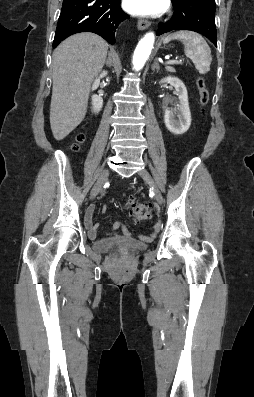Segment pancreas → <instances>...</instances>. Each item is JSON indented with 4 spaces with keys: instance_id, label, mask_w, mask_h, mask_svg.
<instances>
[{
    "instance_id": "pancreas-1",
    "label": "pancreas",
    "mask_w": 254,
    "mask_h": 397,
    "mask_svg": "<svg viewBox=\"0 0 254 397\" xmlns=\"http://www.w3.org/2000/svg\"><path fill=\"white\" fill-rule=\"evenodd\" d=\"M166 70H167L168 72H172V73L176 72L175 69H174L173 67H170V66H167V67H166Z\"/></svg>"
}]
</instances>
